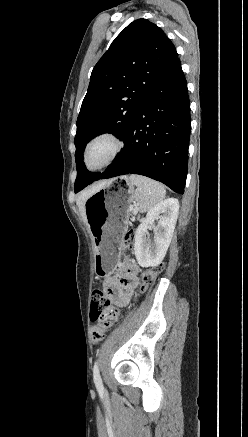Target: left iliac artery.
<instances>
[{
    "label": "left iliac artery",
    "instance_id": "1",
    "mask_svg": "<svg viewBox=\"0 0 248 437\" xmlns=\"http://www.w3.org/2000/svg\"><path fill=\"white\" fill-rule=\"evenodd\" d=\"M93 380H94V383L96 385V388L99 391H102L103 390V384H102V380H101V377H100V374H99V368H98V362L97 361L95 362L94 367H93Z\"/></svg>",
    "mask_w": 248,
    "mask_h": 437
}]
</instances>
